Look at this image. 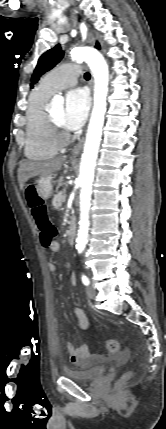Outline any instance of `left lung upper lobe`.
<instances>
[{"label":"left lung upper lobe","instance_id":"5c2ea615","mask_svg":"<svg viewBox=\"0 0 166 429\" xmlns=\"http://www.w3.org/2000/svg\"><path fill=\"white\" fill-rule=\"evenodd\" d=\"M96 48L100 49V45L97 42ZM64 56V51L61 49V46L58 44L55 47L49 49L39 58L37 66L31 77V87H33L39 80V78L51 70Z\"/></svg>","mask_w":166,"mask_h":429}]
</instances>
